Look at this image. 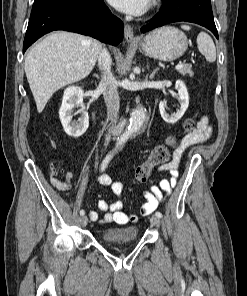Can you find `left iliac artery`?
<instances>
[{
  "label": "left iliac artery",
  "mask_w": 247,
  "mask_h": 296,
  "mask_svg": "<svg viewBox=\"0 0 247 296\" xmlns=\"http://www.w3.org/2000/svg\"><path fill=\"white\" fill-rule=\"evenodd\" d=\"M155 216L161 218V217H162V213H160V212H156V213H155Z\"/></svg>",
  "instance_id": "obj_1"
}]
</instances>
